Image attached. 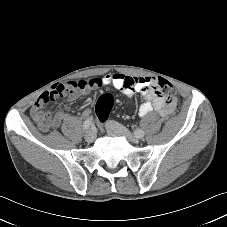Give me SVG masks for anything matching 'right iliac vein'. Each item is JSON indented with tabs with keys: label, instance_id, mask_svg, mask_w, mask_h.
I'll list each match as a JSON object with an SVG mask.
<instances>
[{
	"label": "right iliac vein",
	"instance_id": "1",
	"mask_svg": "<svg viewBox=\"0 0 227 227\" xmlns=\"http://www.w3.org/2000/svg\"><path fill=\"white\" fill-rule=\"evenodd\" d=\"M84 138L88 143H91L95 139V133L92 130H89L85 133Z\"/></svg>",
	"mask_w": 227,
	"mask_h": 227
}]
</instances>
